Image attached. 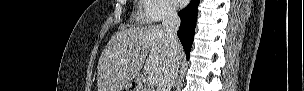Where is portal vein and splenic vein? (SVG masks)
<instances>
[{"mask_svg":"<svg viewBox=\"0 0 304 91\" xmlns=\"http://www.w3.org/2000/svg\"><path fill=\"white\" fill-rule=\"evenodd\" d=\"M122 61H126V59H123ZM148 82L150 85H154L157 83V79L151 75L148 76Z\"/></svg>","mask_w":304,"mask_h":91,"instance_id":"18ae733b","label":"portal vein and splenic vein"}]
</instances>
